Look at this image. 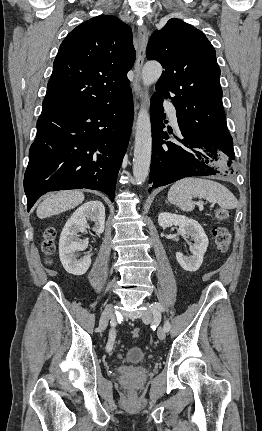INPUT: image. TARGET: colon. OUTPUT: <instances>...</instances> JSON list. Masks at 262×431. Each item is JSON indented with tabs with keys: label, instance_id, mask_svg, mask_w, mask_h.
Instances as JSON below:
<instances>
[{
	"label": "colon",
	"instance_id": "colon-1",
	"mask_svg": "<svg viewBox=\"0 0 262 431\" xmlns=\"http://www.w3.org/2000/svg\"><path fill=\"white\" fill-rule=\"evenodd\" d=\"M217 223L213 228V237L216 249L225 253L228 251L231 244V233L229 229L226 227V223L230 219V213L228 210L223 208H217L215 213ZM54 236L55 231L53 228H49L46 233L44 240L42 242V250L48 256V261H51V255L54 252L55 244H54ZM133 337H138L140 335V329L134 328L131 332Z\"/></svg>",
	"mask_w": 262,
	"mask_h": 431
}]
</instances>
